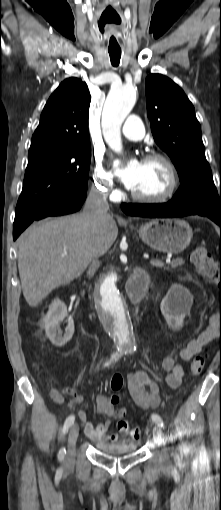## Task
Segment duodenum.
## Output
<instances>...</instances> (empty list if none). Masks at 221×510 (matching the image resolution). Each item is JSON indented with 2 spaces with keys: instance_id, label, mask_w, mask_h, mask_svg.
<instances>
[{
  "instance_id": "duodenum-1",
  "label": "duodenum",
  "mask_w": 221,
  "mask_h": 510,
  "mask_svg": "<svg viewBox=\"0 0 221 510\" xmlns=\"http://www.w3.org/2000/svg\"><path fill=\"white\" fill-rule=\"evenodd\" d=\"M149 285V273L144 269L137 270L127 285V293L133 304L138 303L145 296Z\"/></svg>"
}]
</instances>
